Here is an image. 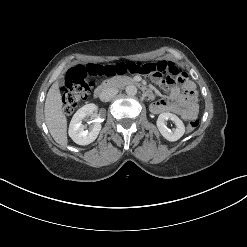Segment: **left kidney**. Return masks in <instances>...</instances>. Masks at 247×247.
Here are the masks:
<instances>
[{
	"mask_svg": "<svg viewBox=\"0 0 247 247\" xmlns=\"http://www.w3.org/2000/svg\"><path fill=\"white\" fill-rule=\"evenodd\" d=\"M167 120H171L176 124V128L173 131L167 128L165 124ZM157 127L161 135L168 141L172 142L180 139L185 133V126L182 120L175 114L169 112H164L159 115L157 119Z\"/></svg>",
	"mask_w": 247,
	"mask_h": 247,
	"instance_id": "1",
	"label": "left kidney"
}]
</instances>
